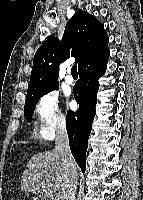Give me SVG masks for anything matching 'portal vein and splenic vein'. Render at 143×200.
<instances>
[{
    "instance_id": "obj_1",
    "label": "portal vein and splenic vein",
    "mask_w": 143,
    "mask_h": 200,
    "mask_svg": "<svg viewBox=\"0 0 143 200\" xmlns=\"http://www.w3.org/2000/svg\"><path fill=\"white\" fill-rule=\"evenodd\" d=\"M42 188H43V191H44L45 197H47V198H51V200H53V199H52L53 194H52L51 192H49V191L46 189V187H45L44 184L42 185Z\"/></svg>"
}]
</instances>
